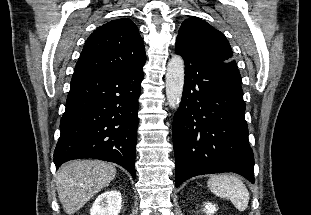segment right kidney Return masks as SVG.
<instances>
[{"label": "right kidney", "instance_id": "obj_1", "mask_svg": "<svg viewBox=\"0 0 311 215\" xmlns=\"http://www.w3.org/2000/svg\"><path fill=\"white\" fill-rule=\"evenodd\" d=\"M122 206L121 193L116 190L99 195L90 209V215H118Z\"/></svg>", "mask_w": 311, "mask_h": 215}]
</instances>
